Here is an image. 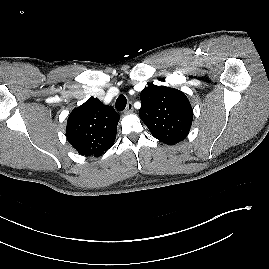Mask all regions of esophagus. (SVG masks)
Instances as JSON below:
<instances>
[{"label": "esophagus", "mask_w": 269, "mask_h": 269, "mask_svg": "<svg viewBox=\"0 0 269 269\" xmlns=\"http://www.w3.org/2000/svg\"><path fill=\"white\" fill-rule=\"evenodd\" d=\"M134 110L133 108V104L131 102H129L126 106V109H125V113H132Z\"/></svg>", "instance_id": "obj_1"}]
</instances>
